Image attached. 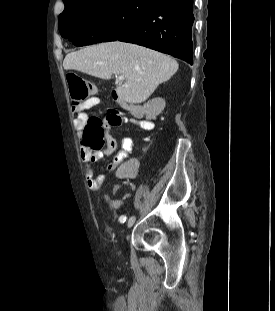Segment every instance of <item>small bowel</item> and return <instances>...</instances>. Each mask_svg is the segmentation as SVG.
I'll use <instances>...</instances> for the list:
<instances>
[{
	"instance_id": "obj_1",
	"label": "small bowel",
	"mask_w": 275,
	"mask_h": 311,
	"mask_svg": "<svg viewBox=\"0 0 275 311\" xmlns=\"http://www.w3.org/2000/svg\"><path fill=\"white\" fill-rule=\"evenodd\" d=\"M96 104H80L76 106L73 110L75 127L78 137L83 136L82 129L87 123L88 115L86 110L95 106ZM123 118L122 123H130L141 130L150 131L155 127V121L152 119H144L139 114H135L133 118H127L125 114L121 111H117ZM110 125H107L109 127ZM117 142L116 140L108 136L107 146L101 151H92L88 146H82L80 150V157L83 162V171L86 178L87 186L92 191H97L101 188L104 182L103 175H95L94 168L92 163L98 161L101 157L105 155H111L116 149ZM121 149L114 156L113 160L108 165L109 171H115L116 176L122 178H135L136 173L139 168L137 160H126L128 153L133 147V140L130 137H122L120 140ZM121 166V169H117ZM115 206H118V202L113 201Z\"/></svg>"
}]
</instances>
